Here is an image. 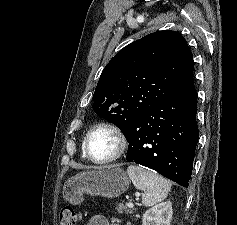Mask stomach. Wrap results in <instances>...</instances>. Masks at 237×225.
Masks as SVG:
<instances>
[{"instance_id":"stomach-1","label":"stomach","mask_w":237,"mask_h":225,"mask_svg":"<svg viewBox=\"0 0 237 225\" xmlns=\"http://www.w3.org/2000/svg\"><path fill=\"white\" fill-rule=\"evenodd\" d=\"M130 179L119 166L102 170H85L64 183L63 197L71 204L83 201V194L113 199L127 191Z\"/></svg>"}]
</instances>
